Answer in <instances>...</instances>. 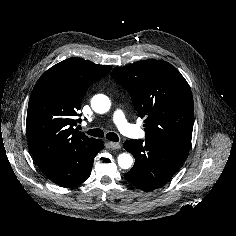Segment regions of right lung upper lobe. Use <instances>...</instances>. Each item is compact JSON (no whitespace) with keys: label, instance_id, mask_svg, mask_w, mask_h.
<instances>
[{"label":"right lung upper lobe","instance_id":"right-lung-upper-lobe-1","mask_svg":"<svg viewBox=\"0 0 236 236\" xmlns=\"http://www.w3.org/2000/svg\"><path fill=\"white\" fill-rule=\"evenodd\" d=\"M110 66L80 58L66 59L48 69L37 81L27 111L28 146L38 166L93 147L97 139L75 129L81 100Z\"/></svg>","mask_w":236,"mask_h":236}]
</instances>
